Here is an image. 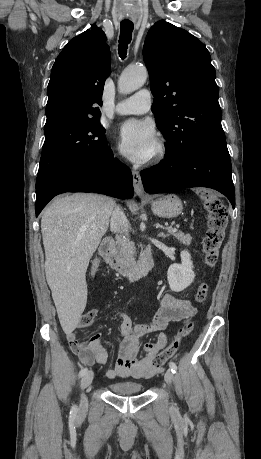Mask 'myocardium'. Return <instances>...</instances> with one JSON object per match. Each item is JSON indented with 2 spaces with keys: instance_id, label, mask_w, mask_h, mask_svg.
Here are the masks:
<instances>
[{
  "instance_id": "obj_1",
  "label": "myocardium",
  "mask_w": 261,
  "mask_h": 459,
  "mask_svg": "<svg viewBox=\"0 0 261 459\" xmlns=\"http://www.w3.org/2000/svg\"><path fill=\"white\" fill-rule=\"evenodd\" d=\"M166 151H167V148H166V145L164 144V142H162V141L158 142L157 146H156L155 153L153 155V160L154 161L162 160L166 155Z\"/></svg>"
}]
</instances>
